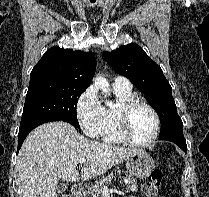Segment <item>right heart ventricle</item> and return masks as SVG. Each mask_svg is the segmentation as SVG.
Segmentation results:
<instances>
[{"instance_id":"1","label":"right heart ventricle","mask_w":209,"mask_h":197,"mask_svg":"<svg viewBox=\"0 0 209 197\" xmlns=\"http://www.w3.org/2000/svg\"><path fill=\"white\" fill-rule=\"evenodd\" d=\"M114 93L120 103L133 97L132 89L114 88ZM99 137L108 143L125 142L118 127L117 108H105V116L99 131Z\"/></svg>"}]
</instances>
